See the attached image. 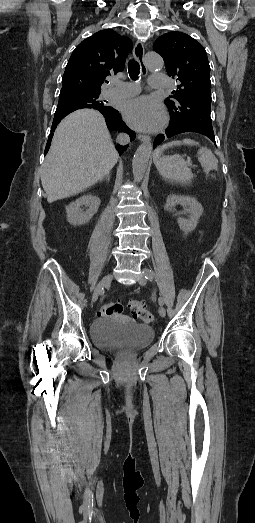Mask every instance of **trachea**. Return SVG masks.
<instances>
[{"mask_svg":"<svg viewBox=\"0 0 255 523\" xmlns=\"http://www.w3.org/2000/svg\"><path fill=\"white\" fill-rule=\"evenodd\" d=\"M128 72L132 80H137L140 73V66L135 59H131L128 63Z\"/></svg>","mask_w":255,"mask_h":523,"instance_id":"obj_1","label":"trachea"}]
</instances>
